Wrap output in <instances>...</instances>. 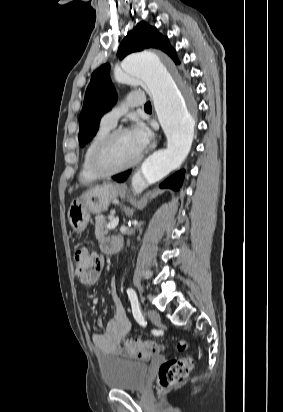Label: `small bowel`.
Segmentation results:
<instances>
[{
	"label": "small bowel",
	"mask_w": 283,
	"mask_h": 412,
	"mask_svg": "<svg viewBox=\"0 0 283 412\" xmlns=\"http://www.w3.org/2000/svg\"><path fill=\"white\" fill-rule=\"evenodd\" d=\"M117 238H102L100 241V248L103 252H111L110 248L113 242ZM101 258V256H99ZM103 268V260L101 258V264L91 270L88 275L83 279V283L87 286L94 285L98 279L100 271ZM110 295L114 307L113 317L107 322L105 330L102 334H94L92 336L93 344L96 353L100 357H114L124 356L129 357L128 353L121 348V341L128 335L131 324L126 314L125 308L119 298L116 282L113 279L110 285ZM97 325L102 327L104 322L101 318L97 319ZM86 328L89 330L90 325L85 323Z\"/></svg>",
	"instance_id": "1"
}]
</instances>
